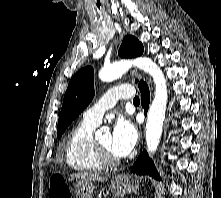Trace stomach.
<instances>
[{"label": "stomach", "mask_w": 221, "mask_h": 198, "mask_svg": "<svg viewBox=\"0 0 221 198\" xmlns=\"http://www.w3.org/2000/svg\"><path fill=\"white\" fill-rule=\"evenodd\" d=\"M76 198H92L94 184L91 181L78 180L74 183ZM111 192L116 197H123L137 191L138 185L127 178L119 177L112 181Z\"/></svg>", "instance_id": "stomach-1"}]
</instances>
